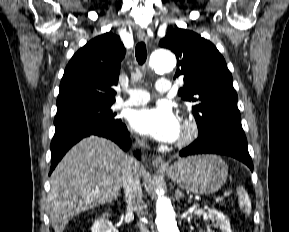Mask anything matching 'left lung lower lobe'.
Segmentation results:
<instances>
[{
	"instance_id": "left-lung-lower-lobe-1",
	"label": "left lung lower lobe",
	"mask_w": 289,
	"mask_h": 232,
	"mask_svg": "<svg viewBox=\"0 0 289 232\" xmlns=\"http://www.w3.org/2000/svg\"><path fill=\"white\" fill-rule=\"evenodd\" d=\"M195 154H221L236 158L253 171V163L242 128H222L198 138L179 152L181 157Z\"/></svg>"
}]
</instances>
